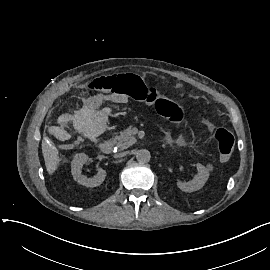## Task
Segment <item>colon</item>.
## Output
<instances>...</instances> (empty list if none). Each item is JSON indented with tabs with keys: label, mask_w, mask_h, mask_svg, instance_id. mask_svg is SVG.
Instances as JSON below:
<instances>
[{
	"label": "colon",
	"mask_w": 270,
	"mask_h": 270,
	"mask_svg": "<svg viewBox=\"0 0 270 270\" xmlns=\"http://www.w3.org/2000/svg\"><path fill=\"white\" fill-rule=\"evenodd\" d=\"M89 88L94 93H120L134 100L154 106L160 115L179 123L185 119L186 110L179 103L163 97L154 87L147 86L134 74L94 76L89 81ZM213 140L218 150V160L227 164L231 160L235 138L227 128H217Z\"/></svg>",
	"instance_id": "5ec220e1"
}]
</instances>
